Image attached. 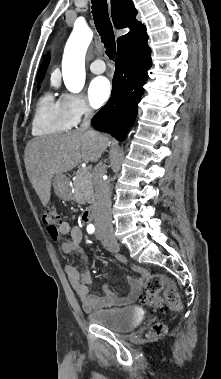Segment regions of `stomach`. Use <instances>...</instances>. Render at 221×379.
I'll list each match as a JSON object with an SVG mask.
<instances>
[{
    "instance_id": "1",
    "label": "stomach",
    "mask_w": 221,
    "mask_h": 379,
    "mask_svg": "<svg viewBox=\"0 0 221 379\" xmlns=\"http://www.w3.org/2000/svg\"><path fill=\"white\" fill-rule=\"evenodd\" d=\"M53 186L55 193L59 197L63 199H69L71 197L69 181L66 175L62 173L57 174L53 180Z\"/></svg>"
}]
</instances>
